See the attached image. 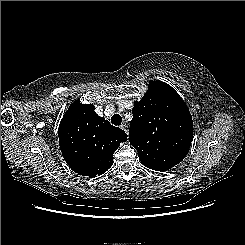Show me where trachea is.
<instances>
[{
	"label": "trachea",
	"instance_id": "obj_1",
	"mask_svg": "<svg viewBox=\"0 0 245 245\" xmlns=\"http://www.w3.org/2000/svg\"><path fill=\"white\" fill-rule=\"evenodd\" d=\"M111 122L114 124V125H117L119 126L122 122V117L119 115V114H115L111 117Z\"/></svg>",
	"mask_w": 245,
	"mask_h": 245
}]
</instances>
